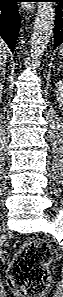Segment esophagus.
Wrapping results in <instances>:
<instances>
[{"label":"esophagus","instance_id":"esophagus-1","mask_svg":"<svg viewBox=\"0 0 63 297\" xmlns=\"http://www.w3.org/2000/svg\"><path fill=\"white\" fill-rule=\"evenodd\" d=\"M21 9L29 12V11H32L34 9V5L24 4V5L21 6Z\"/></svg>","mask_w":63,"mask_h":297}]
</instances>
